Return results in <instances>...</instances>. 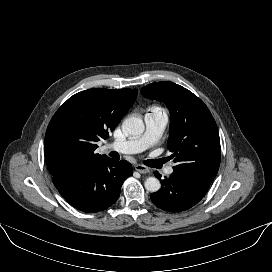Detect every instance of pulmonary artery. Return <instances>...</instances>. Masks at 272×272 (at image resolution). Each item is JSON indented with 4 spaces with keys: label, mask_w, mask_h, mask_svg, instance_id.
Masks as SVG:
<instances>
[{
    "label": "pulmonary artery",
    "mask_w": 272,
    "mask_h": 272,
    "mask_svg": "<svg viewBox=\"0 0 272 272\" xmlns=\"http://www.w3.org/2000/svg\"><path fill=\"white\" fill-rule=\"evenodd\" d=\"M168 123V114L160 109L154 108L145 115L146 129L142 135L132 137L124 141L112 143V147L121 153H139L152 146L162 135ZM173 168L167 169V174H172Z\"/></svg>",
    "instance_id": "pulmonary-artery-1"
}]
</instances>
